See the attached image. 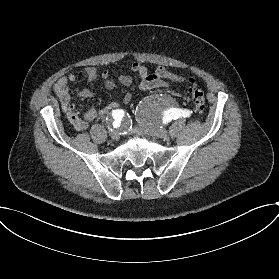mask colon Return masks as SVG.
<instances>
[{
	"label": "colon",
	"mask_w": 279,
	"mask_h": 279,
	"mask_svg": "<svg viewBox=\"0 0 279 279\" xmlns=\"http://www.w3.org/2000/svg\"><path fill=\"white\" fill-rule=\"evenodd\" d=\"M189 92L191 100L198 112H202L204 109L205 97L203 90L194 82L189 84Z\"/></svg>",
	"instance_id": "1"
}]
</instances>
